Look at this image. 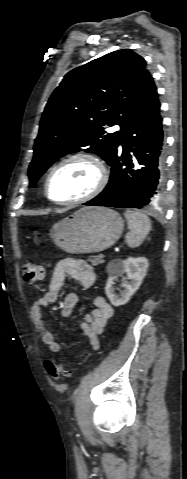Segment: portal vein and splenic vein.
<instances>
[{
    "mask_svg": "<svg viewBox=\"0 0 187 479\" xmlns=\"http://www.w3.org/2000/svg\"><path fill=\"white\" fill-rule=\"evenodd\" d=\"M99 256H100L101 258H103V257H104V254L101 253Z\"/></svg>",
    "mask_w": 187,
    "mask_h": 479,
    "instance_id": "18ae733b",
    "label": "portal vein and splenic vein"
}]
</instances>
